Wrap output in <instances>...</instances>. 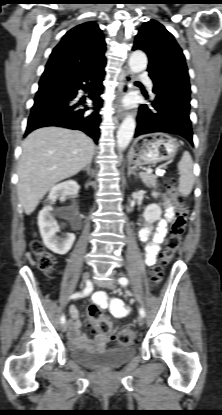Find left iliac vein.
<instances>
[{"label":"left iliac vein","mask_w":222,"mask_h":415,"mask_svg":"<svg viewBox=\"0 0 222 415\" xmlns=\"http://www.w3.org/2000/svg\"><path fill=\"white\" fill-rule=\"evenodd\" d=\"M105 286L109 289H115L116 288V285L113 282H107L105 284ZM137 322L140 326H142L144 324V318L142 316H138Z\"/></svg>","instance_id":"1"}]
</instances>
